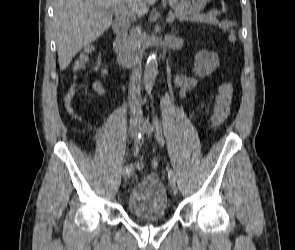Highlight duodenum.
I'll return each instance as SVG.
<instances>
[{"label":"duodenum","mask_w":295,"mask_h":250,"mask_svg":"<svg viewBox=\"0 0 295 250\" xmlns=\"http://www.w3.org/2000/svg\"><path fill=\"white\" fill-rule=\"evenodd\" d=\"M128 26H129L128 20L125 18H119L115 20L113 24V31L115 34V39L113 43L114 49L124 57L128 55L127 41H126V33H127Z\"/></svg>","instance_id":"410a0bca"}]
</instances>
